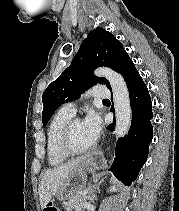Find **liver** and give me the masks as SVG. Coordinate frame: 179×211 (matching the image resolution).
<instances>
[{"label": "liver", "instance_id": "obj_1", "mask_svg": "<svg viewBox=\"0 0 179 211\" xmlns=\"http://www.w3.org/2000/svg\"><path fill=\"white\" fill-rule=\"evenodd\" d=\"M85 160V157H80L56 168L49 169L44 173L38 189L42 209H44L51 198L57 194L69 177L71 171L82 165Z\"/></svg>", "mask_w": 179, "mask_h": 211}]
</instances>
